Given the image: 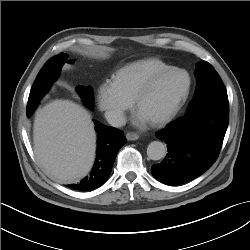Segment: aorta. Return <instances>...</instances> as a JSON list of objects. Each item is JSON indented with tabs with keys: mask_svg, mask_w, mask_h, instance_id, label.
Masks as SVG:
<instances>
[{
	"mask_svg": "<svg viewBox=\"0 0 250 250\" xmlns=\"http://www.w3.org/2000/svg\"><path fill=\"white\" fill-rule=\"evenodd\" d=\"M147 155L151 160H160L166 155V147L160 141H153L147 147Z\"/></svg>",
	"mask_w": 250,
	"mask_h": 250,
	"instance_id": "aorta-1",
	"label": "aorta"
}]
</instances>
